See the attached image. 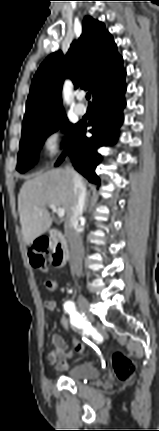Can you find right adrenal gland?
I'll return each instance as SVG.
<instances>
[{"mask_svg":"<svg viewBox=\"0 0 159 431\" xmlns=\"http://www.w3.org/2000/svg\"><path fill=\"white\" fill-rule=\"evenodd\" d=\"M89 198H90V192L87 193V197H86V203H85V207H84V211L87 210L88 204H89Z\"/></svg>","mask_w":159,"mask_h":431,"instance_id":"2a0ac1e0","label":"right adrenal gland"}]
</instances>
